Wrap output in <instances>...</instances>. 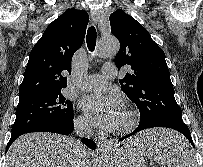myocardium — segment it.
Returning <instances> with one entry per match:
<instances>
[{"label": "myocardium", "mask_w": 203, "mask_h": 167, "mask_svg": "<svg viewBox=\"0 0 203 167\" xmlns=\"http://www.w3.org/2000/svg\"><path fill=\"white\" fill-rule=\"evenodd\" d=\"M126 123L118 128H115L114 132L117 134L130 133L137 125V115L134 111L128 110L125 112Z\"/></svg>", "instance_id": "myocardium-1"}]
</instances>
